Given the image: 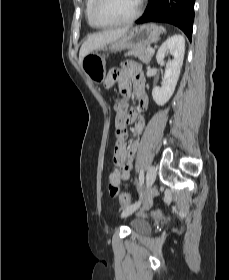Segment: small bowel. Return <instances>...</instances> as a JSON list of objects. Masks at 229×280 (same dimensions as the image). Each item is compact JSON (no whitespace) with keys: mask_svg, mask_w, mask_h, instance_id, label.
I'll return each mask as SVG.
<instances>
[{"mask_svg":"<svg viewBox=\"0 0 229 280\" xmlns=\"http://www.w3.org/2000/svg\"><path fill=\"white\" fill-rule=\"evenodd\" d=\"M117 84L121 93H128L132 88L136 95V108L128 112V105L123 101H117L115 110L117 114L125 113L129 119L135 121L133 138L126 147L124 138L117 140L114 146L112 169L108 177V182L120 187L123 181L130 178L132 170V160L136 154L138 142L145 128V119L136 118L138 112H144L148 108V96L146 94V84L141 68L138 64L130 62L124 67L113 68L107 75L105 85L111 88ZM121 166V169L117 167Z\"/></svg>","mask_w":229,"mask_h":280,"instance_id":"small-bowel-1","label":"small bowel"}]
</instances>
